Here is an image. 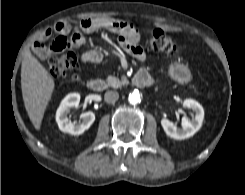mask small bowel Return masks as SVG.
Wrapping results in <instances>:
<instances>
[{
  "label": "small bowel",
  "mask_w": 245,
  "mask_h": 195,
  "mask_svg": "<svg viewBox=\"0 0 245 195\" xmlns=\"http://www.w3.org/2000/svg\"><path fill=\"white\" fill-rule=\"evenodd\" d=\"M79 29L84 33L98 30L113 32L118 35V42L123 50L140 62L147 60L146 53L139 45L140 34L138 30L127 21L112 17L87 18L80 22ZM69 30L70 26L68 23H57L53 30L48 29L41 35L40 40L33 44L32 51L39 57H45L52 53L62 52L68 48H81L87 45L86 38L81 32L74 33L70 39H67L66 34ZM168 30L176 31V29L169 28ZM52 32H55L57 37L49 45H45L44 41L51 36ZM103 58V53L96 48L87 50L81 56L82 62L86 64H98L102 62Z\"/></svg>",
  "instance_id": "1"
}]
</instances>
